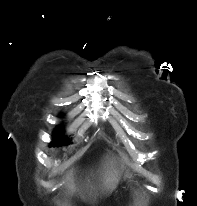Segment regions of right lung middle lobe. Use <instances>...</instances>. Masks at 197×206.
Listing matches in <instances>:
<instances>
[{
  "label": "right lung middle lobe",
  "instance_id": "dd1d6c3e",
  "mask_svg": "<svg viewBox=\"0 0 197 206\" xmlns=\"http://www.w3.org/2000/svg\"><path fill=\"white\" fill-rule=\"evenodd\" d=\"M62 133V128H57L55 130V134L57 135V139H55L54 141L51 142V146H62V145H68L69 141L67 139H62L59 138V134Z\"/></svg>",
  "mask_w": 197,
  "mask_h": 206
}]
</instances>
